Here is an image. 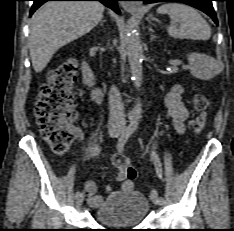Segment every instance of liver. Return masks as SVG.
Returning <instances> with one entry per match:
<instances>
[{"label":"liver","instance_id":"liver-1","mask_svg":"<svg viewBox=\"0 0 234 231\" xmlns=\"http://www.w3.org/2000/svg\"><path fill=\"white\" fill-rule=\"evenodd\" d=\"M97 1H52L30 21L29 50L36 73L47 66L58 49L91 31L103 17Z\"/></svg>","mask_w":234,"mask_h":231}]
</instances>
